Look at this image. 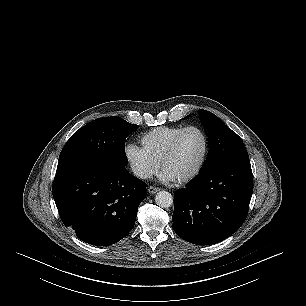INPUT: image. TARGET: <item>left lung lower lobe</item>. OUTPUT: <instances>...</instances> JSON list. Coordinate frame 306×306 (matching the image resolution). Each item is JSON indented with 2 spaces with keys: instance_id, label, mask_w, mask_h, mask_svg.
Instances as JSON below:
<instances>
[{
  "instance_id": "obj_1",
  "label": "left lung lower lobe",
  "mask_w": 306,
  "mask_h": 306,
  "mask_svg": "<svg viewBox=\"0 0 306 306\" xmlns=\"http://www.w3.org/2000/svg\"><path fill=\"white\" fill-rule=\"evenodd\" d=\"M252 193L249 159L221 163L200 172L175 192L173 229L193 244L223 241L245 221Z\"/></svg>"
}]
</instances>
